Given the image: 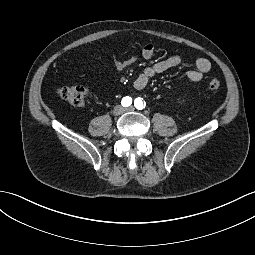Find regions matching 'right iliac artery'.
<instances>
[{"label":"right iliac artery","mask_w":255,"mask_h":255,"mask_svg":"<svg viewBox=\"0 0 255 255\" xmlns=\"http://www.w3.org/2000/svg\"><path fill=\"white\" fill-rule=\"evenodd\" d=\"M131 103H132V98L129 96L124 97L121 101V104L123 107H128L131 105Z\"/></svg>","instance_id":"obj_1"}]
</instances>
